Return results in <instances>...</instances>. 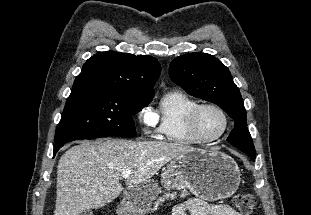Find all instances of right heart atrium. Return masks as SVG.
<instances>
[{"instance_id": "d8ad5b80", "label": "right heart atrium", "mask_w": 311, "mask_h": 215, "mask_svg": "<svg viewBox=\"0 0 311 215\" xmlns=\"http://www.w3.org/2000/svg\"><path fill=\"white\" fill-rule=\"evenodd\" d=\"M137 121L144 137L152 138L159 133L156 116L148 107L140 109L137 114Z\"/></svg>"}]
</instances>
